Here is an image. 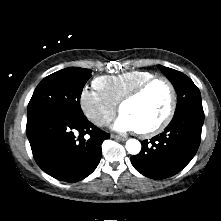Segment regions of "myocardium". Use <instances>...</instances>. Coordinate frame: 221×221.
<instances>
[{
  "mask_svg": "<svg viewBox=\"0 0 221 221\" xmlns=\"http://www.w3.org/2000/svg\"><path fill=\"white\" fill-rule=\"evenodd\" d=\"M161 82L163 83L169 92V105L167 112L163 119L157 123L155 126L145 129V130H138V133L143 136V137H151L156 134H159L162 132L172 121L175 111H176V106H177V94L174 85L172 82L164 76H154L138 86H136L134 89H132L130 92H128L119 102V111L121 112L123 106L138 97H140L146 90L151 87L153 84Z\"/></svg>",
  "mask_w": 221,
  "mask_h": 221,
  "instance_id": "obj_1",
  "label": "myocardium"
}]
</instances>
